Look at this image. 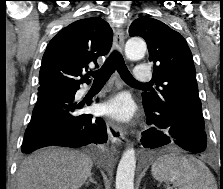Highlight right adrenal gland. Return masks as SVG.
<instances>
[{
  "mask_svg": "<svg viewBox=\"0 0 223 189\" xmlns=\"http://www.w3.org/2000/svg\"><path fill=\"white\" fill-rule=\"evenodd\" d=\"M90 182L97 185V182L94 181V179L92 178V173L89 174V179L87 180L85 184L88 185Z\"/></svg>",
  "mask_w": 223,
  "mask_h": 189,
  "instance_id": "right-adrenal-gland-1",
  "label": "right adrenal gland"
}]
</instances>
